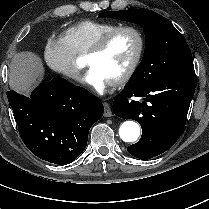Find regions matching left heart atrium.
<instances>
[{
  "label": "left heart atrium",
  "instance_id": "1",
  "mask_svg": "<svg viewBox=\"0 0 209 209\" xmlns=\"http://www.w3.org/2000/svg\"><path fill=\"white\" fill-rule=\"evenodd\" d=\"M84 83H86L91 89L98 93H102L106 90V87L113 82L107 78L97 67L90 66L82 77Z\"/></svg>",
  "mask_w": 209,
  "mask_h": 209
}]
</instances>
